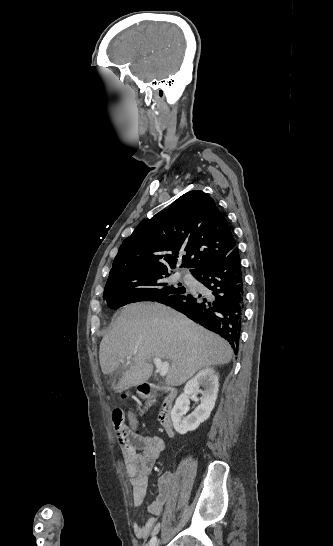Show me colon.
Here are the masks:
<instances>
[{
  "label": "colon",
  "mask_w": 333,
  "mask_h": 546,
  "mask_svg": "<svg viewBox=\"0 0 333 546\" xmlns=\"http://www.w3.org/2000/svg\"><path fill=\"white\" fill-rule=\"evenodd\" d=\"M157 396L150 399V403L155 402L157 400ZM146 410V407H142L140 409V412H144ZM112 423L113 427L117 436V439L122 446V448H125L129 450L131 453H134V447L130 438L129 429L127 427L125 416L122 410L115 409L112 411Z\"/></svg>",
  "instance_id": "colon-1"
}]
</instances>
